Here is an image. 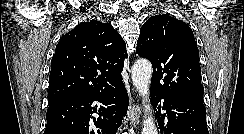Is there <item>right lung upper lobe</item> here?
<instances>
[{"instance_id":"right-lung-upper-lobe-1","label":"right lung upper lobe","mask_w":244,"mask_h":134,"mask_svg":"<svg viewBox=\"0 0 244 134\" xmlns=\"http://www.w3.org/2000/svg\"><path fill=\"white\" fill-rule=\"evenodd\" d=\"M125 42L109 23L82 22L64 35L51 60L48 101L100 92L121 77Z\"/></svg>"}]
</instances>
